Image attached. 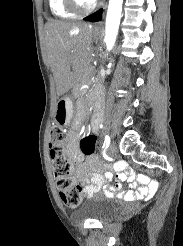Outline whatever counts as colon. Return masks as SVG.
<instances>
[{
	"label": "colon",
	"mask_w": 183,
	"mask_h": 246,
	"mask_svg": "<svg viewBox=\"0 0 183 246\" xmlns=\"http://www.w3.org/2000/svg\"><path fill=\"white\" fill-rule=\"evenodd\" d=\"M66 113L57 114V125L50 131V155L52 159V170L56 179V185L62 202L68 208L74 209L81 204L80 185L71 177V164L66 158V135L61 126L65 121ZM97 133H86L80 140L79 151L86 157H97L96 144Z\"/></svg>",
	"instance_id": "obj_1"
}]
</instances>
